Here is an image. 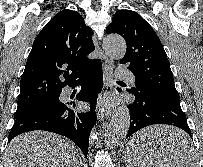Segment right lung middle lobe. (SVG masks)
I'll list each match as a JSON object with an SVG mask.
<instances>
[{
  "label": "right lung middle lobe",
  "mask_w": 203,
  "mask_h": 167,
  "mask_svg": "<svg viewBox=\"0 0 203 167\" xmlns=\"http://www.w3.org/2000/svg\"><path fill=\"white\" fill-rule=\"evenodd\" d=\"M58 101H59V95H53V96L41 99L39 101L33 102L31 104L18 106L17 111L14 115V118H17L29 111L52 105L54 103H57Z\"/></svg>",
  "instance_id": "dd1d6c3e"
}]
</instances>
